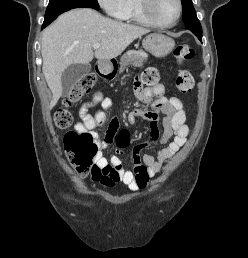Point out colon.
<instances>
[{
	"label": "colon",
	"mask_w": 248,
	"mask_h": 258,
	"mask_svg": "<svg viewBox=\"0 0 248 258\" xmlns=\"http://www.w3.org/2000/svg\"><path fill=\"white\" fill-rule=\"evenodd\" d=\"M175 57L179 66L188 65L194 57L193 49L189 44L182 43L175 49ZM142 83L147 86H157L160 80V73L155 68H148L142 74ZM97 78L93 74H86L72 87L70 93L63 101V106L54 112V124L58 129H68L73 122V117L68 107L77 102L84 94L91 91L95 86ZM176 87L182 93H189L194 87V78L187 70H179L176 79ZM126 138L125 133L120 134V139ZM64 147L67 157L76 170L82 175L91 174L94 178L99 176H118L115 170L103 169L95 163L98 153V146L87 131H69L64 137ZM109 177V176H108Z\"/></svg>",
	"instance_id": "5ec220e1"
}]
</instances>
